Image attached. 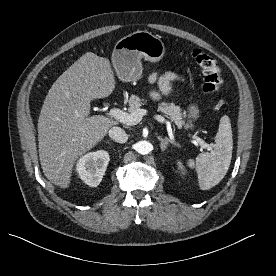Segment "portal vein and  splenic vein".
Returning <instances> with one entry per match:
<instances>
[{
	"label": "portal vein and splenic vein",
	"instance_id": "obj_1",
	"mask_svg": "<svg viewBox=\"0 0 276 276\" xmlns=\"http://www.w3.org/2000/svg\"><path fill=\"white\" fill-rule=\"evenodd\" d=\"M147 113L148 111L146 109H138L131 113L124 112L123 110L118 108H112L109 111L110 116L114 117L116 120L120 121L121 123L127 124V125L138 124L142 120V117L145 116ZM153 118L158 122L169 124V122L161 115L155 114ZM191 137L195 139L202 148L207 150L212 149L213 144L206 143L204 140H202L200 137L196 135H191Z\"/></svg>",
	"mask_w": 276,
	"mask_h": 276
}]
</instances>
